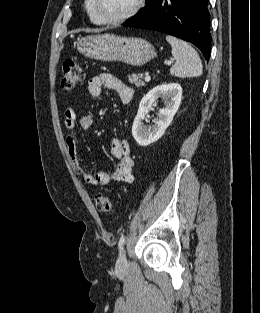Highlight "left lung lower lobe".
Wrapping results in <instances>:
<instances>
[{
	"mask_svg": "<svg viewBox=\"0 0 260 313\" xmlns=\"http://www.w3.org/2000/svg\"><path fill=\"white\" fill-rule=\"evenodd\" d=\"M208 0H149L146 6L124 24L126 27L164 32L193 43L209 59Z\"/></svg>",
	"mask_w": 260,
	"mask_h": 313,
	"instance_id": "left-lung-lower-lobe-1",
	"label": "left lung lower lobe"
}]
</instances>
